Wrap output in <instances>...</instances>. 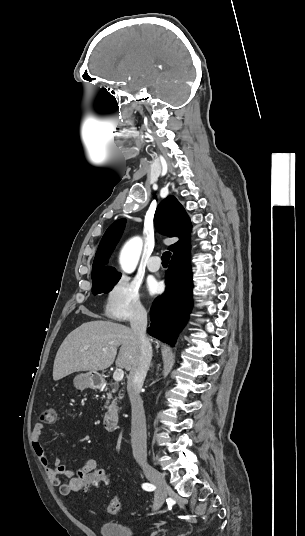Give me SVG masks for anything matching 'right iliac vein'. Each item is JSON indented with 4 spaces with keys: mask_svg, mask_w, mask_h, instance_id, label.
<instances>
[{
    "mask_svg": "<svg viewBox=\"0 0 305 536\" xmlns=\"http://www.w3.org/2000/svg\"><path fill=\"white\" fill-rule=\"evenodd\" d=\"M143 471L147 478L152 482L158 485V489L155 494V510H158L164 504L166 495L169 493V486L163 474L158 472L150 465L143 466Z\"/></svg>",
    "mask_w": 305,
    "mask_h": 536,
    "instance_id": "63e3f726",
    "label": "right iliac vein"
}]
</instances>
